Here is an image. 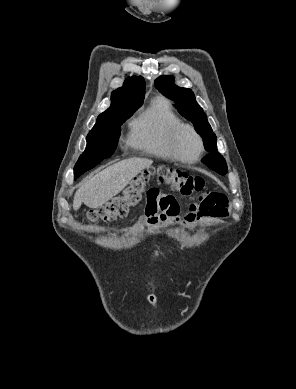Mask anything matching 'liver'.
<instances>
[{
	"label": "liver",
	"instance_id": "obj_1",
	"mask_svg": "<svg viewBox=\"0 0 296 389\" xmlns=\"http://www.w3.org/2000/svg\"><path fill=\"white\" fill-rule=\"evenodd\" d=\"M153 161L146 158H130L119 161L86 180L76 191L73 209L82 203L90 208H98L120 193L137 174L151 166Z\"/></svg>",
	"mask_w": 296,
	"mask_h": 389
}]
</instances>
